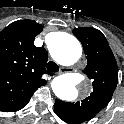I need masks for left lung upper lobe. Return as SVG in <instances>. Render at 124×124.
<instances>
[{
    "label": "left lung upper lobe",
    "instance_id": "5c2ea615",
    "mask_svg": "<svg viewBox=\"0 0 124 124\" xmlns=\"http://www.w3.org/2000/svg\"><path fill=\"white\" fill-rule=\"evenodd\" d=\"M73 34L82 43L87 56L83 72L92 80V93L78 102L55 101V112L66 123L81 124L91 120L110 102L118 83L115 57L102 32L95 28H75Z\"/></svg>",
    "mask_w": 124,
    "mask_h": 124
}]
</instances>
